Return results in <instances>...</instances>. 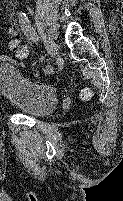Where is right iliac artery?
Here are the masks:
<instances>
[{
    "label": "right iliac artery",
    "instance_id": "82829eb1",
    "mask_svg": "<svg viewBox=\"0 0 123 201\" xmlns=\"http://www.w3.org/2000/svg\"><path fill=\"white\" fill-rule=\"evenodd\" d=\"M18 20H19V24H20L21 30L24 33V35L29 40L37 41L39 39V37L36 35L33 27L30 24L28 17L26 16V14L24 12H19ZM44 72H45V74L51 73L52 72V66L47 65Z\"/></svg>",
    "mask_w": 123,
    "mask_h": 201
}]
</instances>
